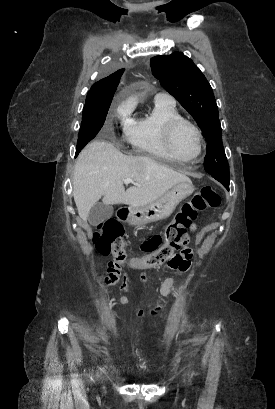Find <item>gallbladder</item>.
<instances>
[{"mask_svg":"<svg viewBox=\"0 0 275 409\" xmlns=\"http://www.w3.org/2000/svg\"><path fill=\"white\" fill-rule=\"evenodd\" d=\"M112 215L113 207H111V205H103V202H96V205L92 207L88 215V221L90 225L97 227V225H100V223H103L106 219H110Z\"/></svg>","mask_w":275,"mask_h":409,"instance_id":"1","label":"gallbladder"}]
</instances>
